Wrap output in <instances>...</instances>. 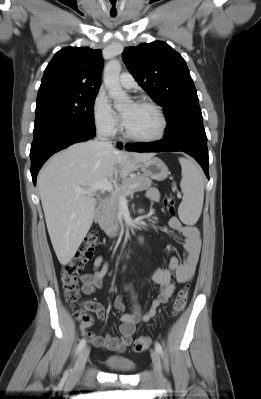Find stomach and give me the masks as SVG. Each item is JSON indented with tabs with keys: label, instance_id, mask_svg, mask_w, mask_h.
I'll return each mask as SVG.
<instances>
[{
	"label": "stomach",
	"instance_id": "1",
	"mask_svg": "<svg viewBox=\"0 0 261 399\" xmlns=\"http://www.w3.org/2000/svg\"><path fill=\"white\" fill-rule=\"evenodd\" d=\"M139 167L144 175L157 181H162L169 175L167 165L157 157L151 158L141 163Z\"/></svg>",
	"mask_w": 261,
	"mask_h": 399
}]
</instances>
